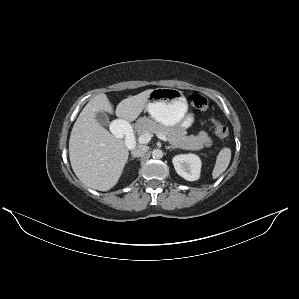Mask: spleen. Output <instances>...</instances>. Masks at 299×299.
I'll use <instances>...</instances> for the list:
<instances>
[{
	"label": "spleen",
	"instance_id": "obj_1",
	"mask_svg": "<svg viewBox=\"0 0 299 299\" xmlns=\"http://www.w3.org/2000/svg\"><path fill=\"white\" fill-rule=\"evenodd\" d=\"M231 160V149L222 148L217 155L216 163L212 171L213 179L218 178L229 166Z\"/></svg>",
	"mask_w": 299,
	"mask_h": 299
}]
</instances>
